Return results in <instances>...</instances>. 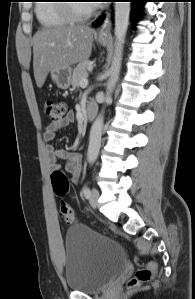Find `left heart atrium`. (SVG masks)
Returning <instances> with one entry per match:
<instances>
[{"label":"left heart atrium","instance_id":"1","mask_svg":"<svg viewBox=\"0 0 195 299\" xmlns=\"http://www.w3.org/2000/svg\"><path fill=\"white\" fill-rule=\"evenodd\" d=\"M98 1H101V0H95L93 1V5L91 4V6L95 7V6H100L103 2H98Z\"/></svg>","mask_w":195,"mask_h":299}]
</instances>
